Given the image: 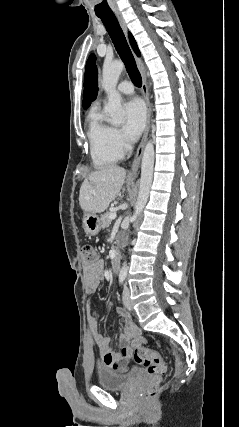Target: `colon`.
<instances>
[{"label":"colon","mask_w":239,"mask_h":427,"mask_svg":"<svg viewBox=\"0 0 239 427\" xmlns=\"http://www.w3.org/2000/svg\"><path fill=\"white\" fill-rule=\"evenodd\" d=\"M81 251L84 265H92L97 260V255L92 245L84 244ZM122 354L131 357L137 364L147 368L149 383L143 392V396L145 399L154 397L166 373V366L160 353L157 350L142 347L134 350L123 349Z\"/></svg>","instance_id":"colon-1"}]
</instances>
